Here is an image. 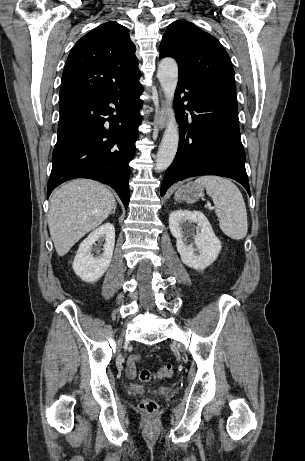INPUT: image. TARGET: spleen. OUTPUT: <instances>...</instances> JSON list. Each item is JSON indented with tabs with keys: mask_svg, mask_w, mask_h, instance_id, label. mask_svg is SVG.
I'll use <instances>...</instances> for the list:
<instances>
[{
	"mask_svg": "<svg viewBox=\"0 0 305 461\" xmlns=\"http://www.w3.org/2000/svg\"><path fill=\"white\" fill-rule=\"evenodd\" d=\"M194 183L204 186L212 197L224 234L234 240L245 238L248 231L247 211L239 188L229 179L219 176H201Z\"/></svg>",
	"mask_w": 305,
	"mask_h": 461,
	"instance_id": "obj_1",
	"label": "spleen"
}]
</instances>
